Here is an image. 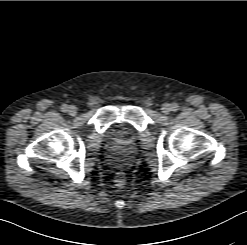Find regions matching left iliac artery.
<instances>
[{"mask_svg":"<svg viewBox=\"0 0 247 245\" xmlns=\"http://www.w3.org/2000/svg\"><path fill=\"white\" fill-rule=\"evenodd\" d=\"M179 109V106L177 103L172 104V111L176 112Z\"/></svg>","mask_w":247,"mask_h":245,"instance_id":"obj_1","label":"left iliac artery"}]
</instances>
